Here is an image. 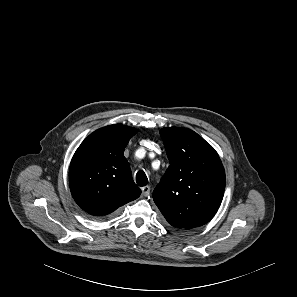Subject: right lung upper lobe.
I'll return each mask as SVG.
<instances>
[{
    "label": "right lung upper lobe",
    "instance_id": "cb5924a9",
    "mask_svg": "<svg viewBox=\"0 0 297 297\" xmlns=\"http://www.w3.org/2000/svg\"><path fill=\"white\" fill-rule=\"evenodd\" d=\"M135 128L110 125L91 133L75 152L69 186L75 202L87 213L105 216L141 194L132 179L124 149Z\"/></svg>",
    "mask_w": 297,
    "mask_h": 297
}]
</instances>
